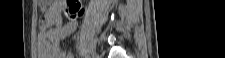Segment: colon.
Returning a JSON list of instances; mask_svg holds the SVG:
<instances>
[{"label": "colon", "instance_id": "1", "mask_svg": "<svg viewBox=\"0 0 225 58\" xmlns=\"http://www.w3.org/2000/svg\"><path fill=\"white\" fill-rule=\"evenodd\" d=\"M47 1H40L41 5H45ZM70 3V14L74 17H79L82 15L83 10L81 8L80 2L78 1H69Z\"/></svg>", "mask_w": 225, "mask_h": 58}]
</instances>
